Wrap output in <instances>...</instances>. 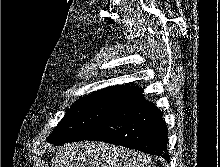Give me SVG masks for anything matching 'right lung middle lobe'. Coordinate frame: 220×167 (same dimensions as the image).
Segmentation results:
<instances>
[{
    "label": "right lung middle lobe",
    "instance_id": "obj_1",
    "mask_svg": "<svg viewBox=\"0 0 220 167\" xmlns=\"http://www.w3.org/2000/svg\"><path fill=\"white\" fill-rule=\"evenodd\" d=\"M113 99L88 98L76 101L59 122L47 141L60 145L83 140L105 117Z\"/></svg>",
    "mask_w": 220,
    "mask_h": 167
}]
</instances>
